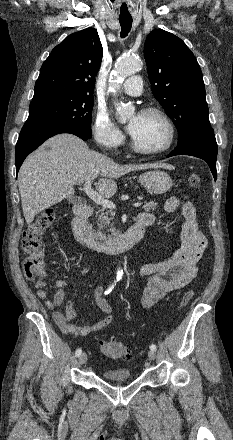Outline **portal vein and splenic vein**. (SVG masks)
I'll list each match as a JSON object with an SVG mask.
<instances>
[{
  "label": "portal vein and splenic vein",
  "mask_w": 233,
  "mask_h": 440,
  "mask_svg": "<svg viewBox=\"0 0 233 440\" xmlns=\"http://www.w3.org/2000/svg\"><path fill=\"white\" fill-rule=\"evenodd\" d=\"M91 184H92V182L90 179H88L84 183L83 191L87 194V196L90 199H92L95 203H97L98 205H101L104 208L115 209L116 205L112 201L105 199L102 195H100L99 193L94 191L91 188ZM133 206L140 207L141 204L137 202V203H134Z\"/></svg>",
  "instance_id": "obj_1"
}]
</instances>
